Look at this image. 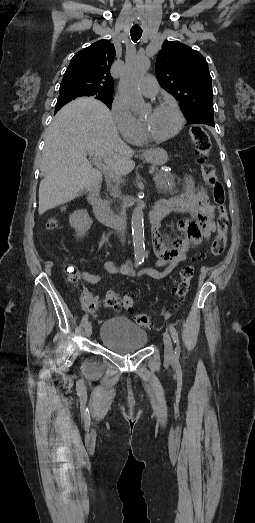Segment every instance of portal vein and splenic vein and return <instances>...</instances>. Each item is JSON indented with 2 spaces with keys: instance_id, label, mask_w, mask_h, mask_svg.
Masks as SVG:
<instances>
[{
  "instance_id": "1",
  "label": "portal vein and splenic vein",
  "mask_w": 255,
  "mask_h": 523,
  "mask_svg": "<svg viewBox=\"0 0 255 523\" xmlns=\"http://www.w3.org/2000/svg\"><path fill=\"white\" fill-rule=\"evenodd\" d=\"M94 162L95 163L93 164V167L98 172H102V174H107L108 171H110L109 164H106V166H104V164L101 162V158H95V156H94ZM153 174H155V171L154 170H150L149 176H153Z\"/></svg>"
}]
</instances>
